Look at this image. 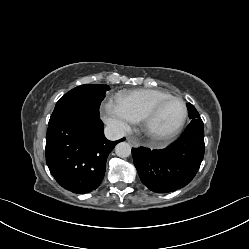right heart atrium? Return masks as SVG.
I'll return each instance as SVG.
<instances>
[{"label":"right heart atrium","instance_id":"1","mask_svg":"<svg viewBox=\"0 0 249 249\" xmlns=\"http://www.w3.org/2000/svg\"><path fill=\"white\" fill-rule=\"evenodd\" d=\"M104 122L116 133L125 134L135 124V116L119 101L108 99L101 107Z\"/></svg>","mask_w":249,"mask_h":249}]
</instances>
